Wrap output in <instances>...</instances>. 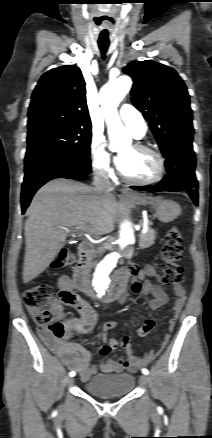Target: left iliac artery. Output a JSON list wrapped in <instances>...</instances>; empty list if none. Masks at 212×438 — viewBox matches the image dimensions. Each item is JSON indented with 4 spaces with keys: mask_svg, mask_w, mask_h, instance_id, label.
I'll list each match as a JSON object with an SVG mask.
<instances>
[{
    "mask_svg": "<svg viewBox=\"0 0 212 438\" xmlns=\"http://www.w3.org/2000/svg\"><path fill=\"white\" fill-rule=\"evenodd\" d=\"M142 373L145 374V375H148V374H149V371H148L146 368H143V369H142Z\"/></svg>",
    "mask_w": 212,
    "mask_h": 438,
    "instance_id": "left-iliac-artery-1",
    "label": "left iliac artery"
}]
</instances>
